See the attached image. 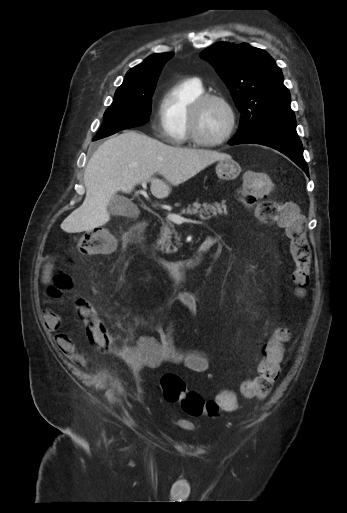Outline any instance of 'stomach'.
Here are the masks:
<instances>
[{
	"label": "stomach",
	"mask_w": 347,
	"mask_h": 513,
	"mask_svg": "<svg viewBox=\"0 0 347 513\" xmlns=\"http://www.w3.org/2000/svg\"><path fill=\"white\" fill-rule=\"evenodd\" d=\"M215 171L222 180H234L241 173V166L232 158H228L219 160Z\"/></svg>",
	"instance_id": "obj_1"
}]
</instances>
